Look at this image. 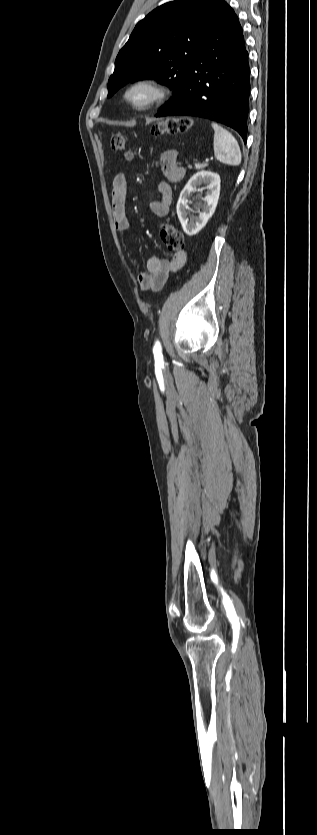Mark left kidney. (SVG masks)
Wrapping results in <instances>:
<instances>
[{
	"instance_id": "obj_1",
	"label": "left kidney",
	"mask_w": 317,
	"mask_h": 835,
	"mask_svg": "<svg viewBox=\"0 0 317 835\" xmlns=\"http://www.w3.org/2000/svg\"><path fill=\"white\" fill-rule=\"evenodd\" d=\"M201 184H206L208 189L206 196L202 197L204 204L199 206V208L202 209L201 211H198L199 216L195 219H190L189 221L188 211L190 210V207L188 204L191 203L189 198L191 197V193L196 191ZM203 189L204 188H201L200 191ZM219 194L220 177L218 174L202 170L194 174L189 179L180 193L176 206L178 218L184 232L187 235L192 236L197 234L207 224L208 220L215 212Z\"/></svg>"
}]
</instances>
